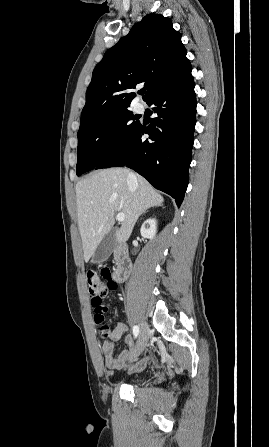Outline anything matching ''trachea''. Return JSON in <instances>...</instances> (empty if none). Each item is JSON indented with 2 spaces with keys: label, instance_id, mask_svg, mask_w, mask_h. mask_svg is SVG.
Masks as SVG:
<instances>
[{
  "label": "trachea",
  "instance_id": "trachea-1",
  "mask_svg": "<svg viewBox=\"0 0 269 447\" xmlns=\"http://www.w3.org/2000/svg\"><path fill=\"white\" fill-rule=\"evenodd\" d=\"M146 92V90L141 91V95H143Z\"/></svg>",
  "mask_w": 269,
  "mask_h": 447
}]
</instances>
